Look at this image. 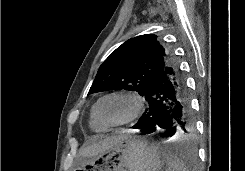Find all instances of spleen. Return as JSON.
Wrapping results in <instances>:
<instances>
[{"instance_id":"3e777b00","label":"spleen","mask_w":245,"mask_h":171,"mask_svg":"<svg viewBox=\"0 0 245 171\" xmlns=\"http://www.w3.org/2000/svg\"><path fill=\"white\" fill-rule=\"evenodd\" d=\"M162 155L166 162V171H189L184 162L176 155L167 152H162Z\"/></svg>"}]
</instances>
